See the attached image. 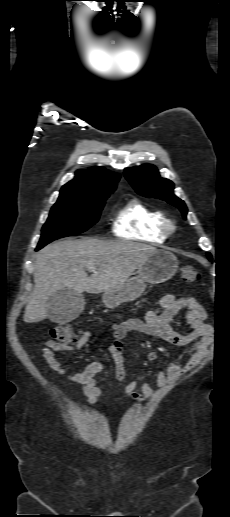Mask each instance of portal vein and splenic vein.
Returning a JSON list of instances; mask_svg holds the SVG:
<instances>
[{
    "mask_svg": "<svg viewBox=\"0 0 230 517\" xmlns=\"http://www.w3.org/2000/svg\"><path fill=\"white\" fill-rule=\"evenodd\" d=\"M87 269L91 272L95 271L96 270V267L94 266H88Z\"/></svg>",
    "mask_w": 230,
    "mask_h": 517,
    "instance_id": "obj_1",
    "label": "portal vein and splenic vein"
}]
</instances>
